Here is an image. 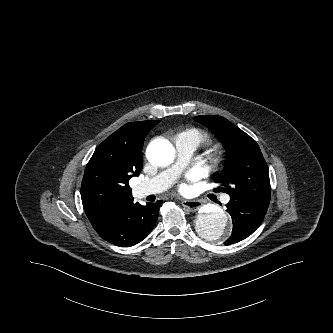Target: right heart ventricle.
<instances>
[{"instance_id":"right-heart-ventricle-1","label":"right heart ventricle","mask_w":333,"mask_h":333,"mask_svg":"<svg viewBox=\"0 0 333 333\" xmlns=\"http://www.w3.org/2000/svg\"><path fill=\"white\" fill-rule=\"evenodd\" d=\"M180 135L191 136L195 138L198 142H203L204 140H206V136L197 130H186L180 133Z\"/></svg>"}]
</instances>
